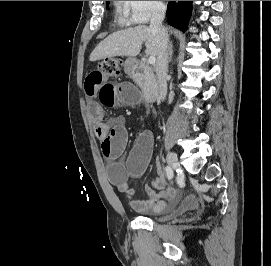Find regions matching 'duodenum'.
Segmentation results:
<instances>
[{"mask_svg": "<svg viewBox=\"0 0 271 266\" xmlns=\"http://www.w3.org/2000/svg\"><path fill=\"white\" fill-rule=\"evenodd\" d=\"M128 71L134 82L141 86L145 101L155 102L159 84L153 70L140 60L134 59L128 63Z\"/></svg>", "mask_w": 271, "mask_h": 266, "instance_id": "duodenum-1", "label": "duodenum"}]
</instances>
